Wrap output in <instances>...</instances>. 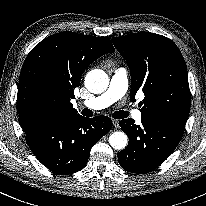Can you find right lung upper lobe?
<instances>
[{
	"instance_id": "right-lung-upper-lobe-1",
	"label": "right lung upper lobe",
	"mask_w": 206,
	"mask_h": 206,
	"mask_svg": "<svg viewBox=\"0 0 206 206\" xmlns=\"http://www.w3.org/2000/svg\"><path fill=\"white\" fill-rule=\"evenodd\" d=\"M114 52L108 37L74 32L53 34L26 57L19 76L17 108L26 133L80 116L71 99L84 70Z\"/></svg>"
}]
</instances>
